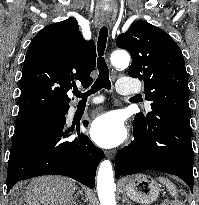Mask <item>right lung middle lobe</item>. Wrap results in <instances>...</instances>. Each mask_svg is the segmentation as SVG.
I'll use <instances>...</instances> for the list:
<instances>
[{"mask_svg": "<svg viewBox=\"0 0 199 205\" xmlns=\"http://www.w3.org/2000/svg\"><path fill=\"white\" fill-rule=\"evenodd\" d=\"M66 111L67 109H56L17 116L12 140L23 137L41 127L60 124L64 120Z\"/></svg>", "mask_w": 199, "mask_h": 205, "instance_id": "dd1d6c3e", "label": "right lung middle lobe"}]
</instances>
